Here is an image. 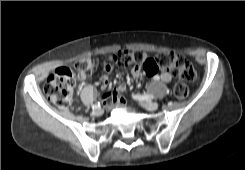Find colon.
<instances>
[{"instance_id":"obj_1","label":"colon","mask_w":245,"mask_h":170,"mask_svg":"<svg viewBox=\"0 0 245 170\" xmlns=\"http://www.w3.org/2000/svg\"><path fill=\"white\" fill-rule=\"evenodd\" d=\"M141 58L143 60V67L146 72L151 71L157 63V59L153 54L150 53H141V54H130L128 52L119 53L117 55H113L112 57H107L101 61V64L98 65L97 70L101 67L109 68L111 63L118 62L122 59L126 60H134ZM162 63H167L170 69L173 72V75L176 78H181L186 81H193L195 77V71L193 65L191 63V59L189 56H178L176 59L171 58L168 62L166 60H161ZM82 71L90 75L92 72L91 62L87 61L82 64ZM76 84V79L74 75L67 70L57 71L46 79L44 83L45 92L57 99L61 106H67L69 104V98L72 93V89ZM187 85L185 83H177L176 89L178 92L186 91Z\"/></svg>"}]
</instances>
